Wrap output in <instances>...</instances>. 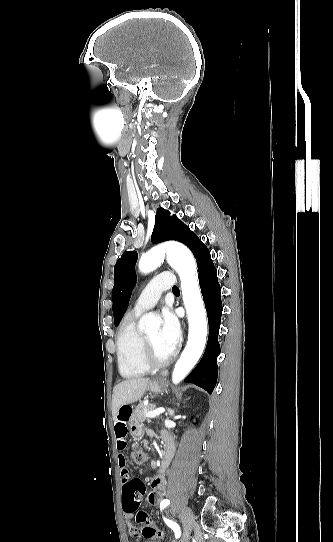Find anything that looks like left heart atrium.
Returning <instances> with one entry per match:
<instances>
[{
  "instance_id": "1",
  "label": "left heart atrium",
  "mask_w": 333,
  "mask_h": 542,
  "mask_svg": "<svg viewBox=\"0 0 333 542\" xmlns=\"http://www.w3.org/2000/svg\"><path fill=\"white\" fill-rule=\"evenodd\" d=\"M160 335L162 342L166 344L171 353L175 352L181 339V328L178 318L169 307H165L162 311Z\"/></svg>"
}]
</instances>
